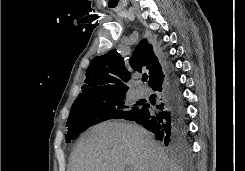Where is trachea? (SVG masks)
I'll list each match as a JSON object with an SVG mask.
<instances>
[{"label":"trachea","mask_w":245,"mask_h":171,"mask_svg":"<svg viewBox=\"0 0 245 171\" xmlns=\"http://www.w3.org/2000/svg\"><path fill=\"white\" fill-rule=\"evenodd\" d=\"M148 79V75L147 74H144L143 76H142V81H146Z\"/></svg>","instance_id":"obj_1"}]
</instances>
